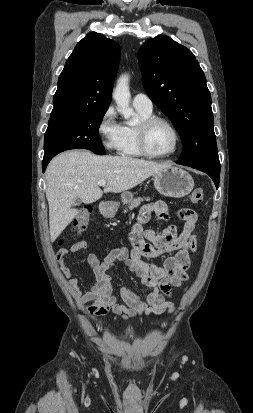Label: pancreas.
Listing matches in <instances>:
<instances>
[{"instance_id": "cf45deb5", "label": "pancreas", "mask_w": 253, "mask_h": 413, "mask_svg": "<svg viewBox=\"0 0 253 413\" xmlns=\"http://www.w3.org/2000/svg\"><path fill=\"white\" fill-rule=\"evenodd\" d=\"M144 199L143 198H137V199H134L131 203H130V205L128 206V208H129V210H132L133 208H135V207H138L139 205H140V203H141V201H143ZM145 200H149V198H145ZM128 210L127 209H125L124 210V213H126Z\"/></svg>"}]
</instances>
